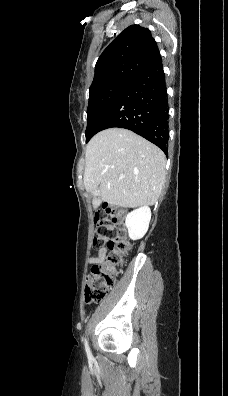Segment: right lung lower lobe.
Returning a JSON list of instances; mask_svg holds the SVG:
<instances>
[{
  "label": "right lung lower lobe",
  "mask_w": 228,
  "mask_h": 396,
  "mask_svg": "<svg viewBox=\"0 0 228 396\" xmlns=\"http://www.w3.org/2000/svg\"><path fill=\"white\" fill-rule=\"evenodd\" d=\"M168 117L165 74L159 56L129 83L103 114L95 133L112 127L129 129L157 145L167 155Z\"/></svg>",
  "instance_id": "1"
}]
</instances>
